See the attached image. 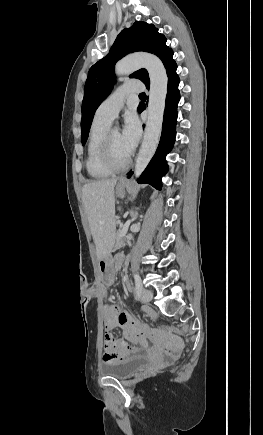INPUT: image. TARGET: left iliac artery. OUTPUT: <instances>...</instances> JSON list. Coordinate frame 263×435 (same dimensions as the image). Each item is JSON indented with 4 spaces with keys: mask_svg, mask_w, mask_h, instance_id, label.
Returning <instances> with one entry per match:
<instances>
[{
    "mask_svg": "<svg viewBox=\"0 0 263 435\" xmlns=\"http://www.w3.org/2000/svg\"><path fill=\"white\" fill-rule=\"evenodd\" d=\"M134 280H135V293H136V298L139 297L140 292L142 290V282H141V278L138 274L134 275Z\"/></svg>",
    "mask_w": 263,
    "mask_h": 435,
    "instance_id": "left-iliac-artery-1",
    "label": "left iliac artery"
}]
</instances>
